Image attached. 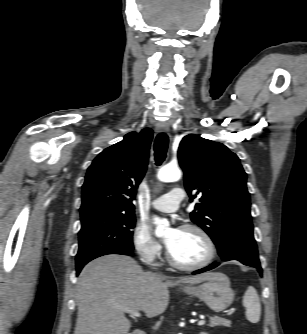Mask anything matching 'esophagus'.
I'll use <instances>...</instances> for the list:
<instances>
[{
    "label": "esophagus",
    "mask_w": 307,
    "mask_h": 334,
    "mask_svg": "<svg viewBox=\"0 0 307 334\" xmlns=\"http://www.w3.org/2000/svg\"><path fill=\"white\" fill-rule=\"evenodd\" d=\"M155 128L157 132H168L169 124L167 122H157Z\"/></svg>",
    "instance_id": "34e87169"
}]
</instances>
